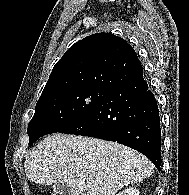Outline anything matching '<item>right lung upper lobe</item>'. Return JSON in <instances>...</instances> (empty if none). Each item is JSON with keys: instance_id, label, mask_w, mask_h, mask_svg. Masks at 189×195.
I'll return each instance as SVG.
<instances>
[{"instance_id": "cb5924a9", "label": "right lung upper lobe", "mask_w": 189, "mask_h": 195, "mask_svg": "<svg viewBox=\"0 0 189 195\" xmlns=\"http://www.w3.org/2000/svg\"><path fill=\"white\" fill-rule=\"evenodd\" d=\"M142 75L141 63L124 39L96 33L75 43L55 64L41 96L82 87L112 91Z\"/></svg>"}]
</instances>
